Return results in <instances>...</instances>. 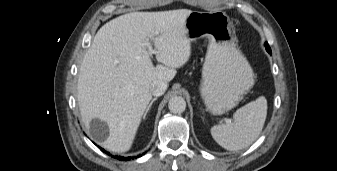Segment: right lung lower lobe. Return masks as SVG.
I'll list each match as a JSON object with an SVG mask.
<instances>
[{
    "label": "right lung lower lobe",
    "mask_w": 337,
    "mask_h": 171,
    "mask_svg": "<svg viewBox=\"0 0 337 171\" xmlns=\"http://www.w3.org/2000/svg\"><path fill=\"white\" fill-rule=\"evenodd\" d=\"M100 148V147H99ZM103 152H105L102 148H100ZM107 153V152H106ZM107 154H109V153H107ZM139 156H141V155H139ZM139 156H137V157H139ZM112 157H114V158H117L118 160H122V161H124V160H130L131 159V157H127V158H125V157H122V156H112Z\"/></svg>",
    "instance_id": "98d812e1"
}]
</instances>
